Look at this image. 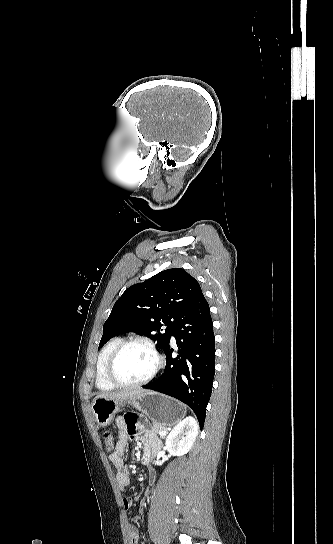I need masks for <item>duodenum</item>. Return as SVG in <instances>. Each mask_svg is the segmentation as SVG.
I'll return each mask as SVG.
<instances>
[{
  "instance_id": "duodenum-1",
  "label": "duodenum",
  "mask_w": 333,
  "mask_h": 544,
  "mask_svg": "<svg viewBox=\"0 0 333 544\" xmlns=\"http://www.w3.org/2000/svg\"><path fill=\"white\" fill-rule=\"evenodd\" d=\"M143 460H144V462H147L148 458L146 456H144Z\"/></svg>"
}]
</instances>
